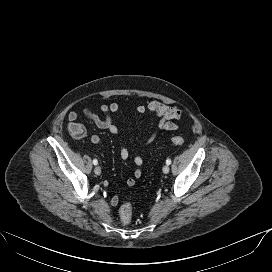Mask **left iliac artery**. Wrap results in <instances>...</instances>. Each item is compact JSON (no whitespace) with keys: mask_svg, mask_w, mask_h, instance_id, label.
<instances>
[{"mask_svg":"<svg viewBox=\"0 0 272 272\" xmlns=\"http://www.w3.org/2000/svg\"><path fill=\"white\" fill-rule=\"evenodd\" d=\"M166 164H167V165H170V164H171V159H167V160H166Z\"/></svg>","mask_w":272,"mask_h":272,"instance_id":"1","label":"left iliac artery"}]
</instances>
